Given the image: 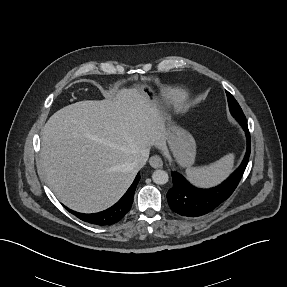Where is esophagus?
<instances>
[{
	"mask_svg": "<svg viewBox=\"0 0 287 287\" xmlns=\"http://www.w3.org/2000/svg\"><path fill=\"white\" fill-rule=\"evenodd\" d=\"M149 163L153 168H161L163 166L162 159L157 155L152 156L149 159Z\"/></svg>",
	"mask_w": 287,
	"mask_h": 287,
	"instance_id": "obj_1",
	"label": "esophagus"
}]
</instances>
